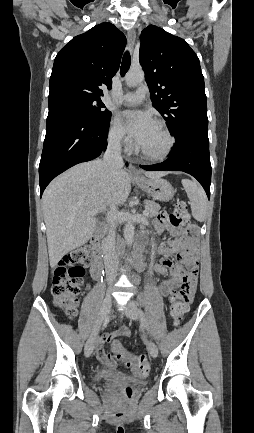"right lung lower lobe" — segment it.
Wrapping results in <instances>:
<instances>
[{"label":"right lung lower lobe","instance_id":"98d812e1","mask_svg":"<svg viewBox=\"0 0 254 433\" xmlns=\"http://www.w3.org/2000/svg\"><path fill=\"white\" fill-rule=\"evenodd\" d=\"M109 122L92 120L69 108H49L39 165L40 196L57 175L106 150Z\"/></svg>","mask_w":254,"mask_h":433}]
</instances>
